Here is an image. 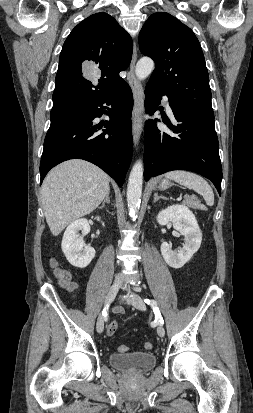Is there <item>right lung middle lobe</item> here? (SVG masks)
<instances>
[{
    "mask_svg": "<svg viewBox=\"0 0 253 413\" xmlns=\"http://www.w3.org/2000/svg\"><path fill=\"white\" fill-rule=\"evenodd\" d=\"M68 115H66V116H60V117H50L51 118V123L52 122H55V121H58V120H61V119H63V118H65V117H67Z\"/></svg>",
    "mask_w": 253,
    "mask_h": 413,
    "instance_id": "1",
    "label": "right lung middle lobe"
}]
</instances>
